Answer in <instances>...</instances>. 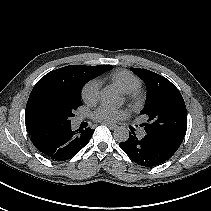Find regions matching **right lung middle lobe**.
Returning a JSON list of instances; mask_svg holds the SVG:
<instances>
[{
	"label": "right lung middle lobe",
	"mask_w": 211,
	"mask_h": 211,
	"mask_svg": "<svg viewBox=\"0 0 211 211\" xmlns=\"http://www.w3.org/2000/svg\"><path fill=\"white\" fill-rule=\"evenodd\" d=\"M92 77L78 81L71 90L39 97L32 109L35 130L71 124L70 118L75 116V110L82 105V86Z\"/></svg>",
	"instance_id": "1"
}]
</instances>
